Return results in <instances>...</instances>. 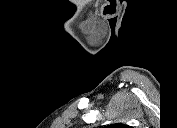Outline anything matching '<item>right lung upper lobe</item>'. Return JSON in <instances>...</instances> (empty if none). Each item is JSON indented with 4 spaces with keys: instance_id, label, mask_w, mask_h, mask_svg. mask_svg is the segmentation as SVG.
Wrapping results in <instances>:
<instances>
[{
    "instance_id": "cb5924a9",
    "label": "right lung upper lobe",
    "mask_w": 177,
    "mask_h": 128,
    "mask_svg": "<svg viewBox=\"0 0 177 128\" xmlns=\"http://www.w3.org/2000/svg\"><path fill=\"white\" fill-rule=\"evenodd\" d=\"M115 126H116V127H120V128L128 127V126L122 125V124H117V125H115Z\"/></svg>"
}]
</instances>
